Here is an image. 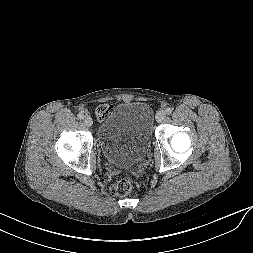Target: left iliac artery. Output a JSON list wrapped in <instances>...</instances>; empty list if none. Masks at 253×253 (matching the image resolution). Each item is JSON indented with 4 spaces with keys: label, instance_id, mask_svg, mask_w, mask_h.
Here are the masks:
<instances>
[{
    "label": "left iliac artery",
    "instance_id": "left-iliac-artery-1",
    "mask_svg": "<svg viewBox=\"0 0 253 253\" xmlns=\"http://www.w3.org/2000/svg\"><path fill=\"white\" fill-rule=\"evenodd\" d=\"M172 111H173V108L168 107V108H166L165 112H166V114L170 115L172 113Z\"/></svg>",
    "mask_w": 253,
    "mask_h": 253
}]
</instances>
